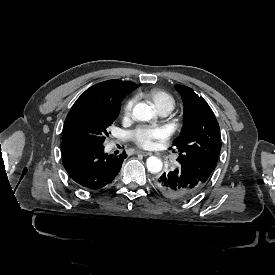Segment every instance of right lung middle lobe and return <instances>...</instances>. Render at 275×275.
<instances>
[{
    "label": "right lung middle lobe",
    "instance_id": "dd1d6c3e",
    "mask_svg": "<svg viewBox=\"0 0 275 275\" xmlns=\"http://www.w3.org/2000/svg\"><path fill=\"white\" fill-rule=\"evenodd\" d=\"M119 112L120 107L98 105L67 116L63 129V142L85 141L103 145L108 136L107 129Z\"/></svg>",
    "mask_w": 275,
    "mask_h": 275
}]
</instances>
